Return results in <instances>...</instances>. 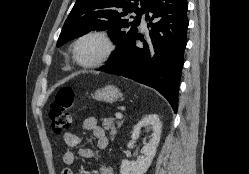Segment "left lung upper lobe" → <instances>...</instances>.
<instances>
[{"instance_id":"left-lung-upper-lobe-1","label":"left lung upper lobe","mask_w":249,"mask_h":174,"mask_svg":"<svg viewBox=\"0 0 249 174\" xmlns=\"http://www.w3.org/2000/svg\"><path fill=\"white\" fill-rule=\"evenodd\" d=\"M150 0H77L62 28L57 47L92 30H108L117 45L108 65L120 58L124 48L136 37L140 16L145 13ZM139 6V7H138ZM135 12L133 22L124 19Z\"/></svg>"}]
</instances>
